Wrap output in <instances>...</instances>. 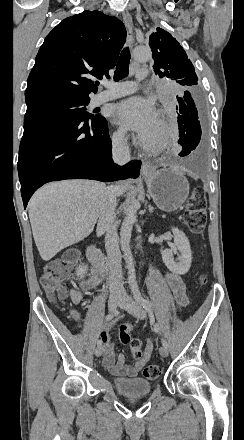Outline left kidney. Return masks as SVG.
I'll return each mask as SVG.
<instances>
[{
    "instance_id": "left-kidney-1",
    "label": "left kidney",
    "mask_w": 244,
    "mask_h": 440,
    "mask_svg": "<svg viewBox=\"0 0 244 440\" xmlns=\"http://www.w3.org/2000/svg\"><path fill=\"white\" fill-rule=\"evenodd\" d=\"M171 232L174 234L175 248H172V250H164L162 260L170 272L178 274V276H184V274H187L188 270H190L192 262L190 242L184 232H181L178 228H172ZM176 250H178L179 256L174 260V252H176ZM178 252H176V254H178Z\"/></svg>"
}]
</instances>
